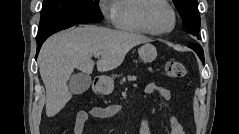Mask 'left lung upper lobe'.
<instances>
[{
	"label": "left lung upper lobe",
	"mask_w": 239,
	"mask_h": 134,
	"mask_svg": "<svg viewBox=\"0 0 239 134\" xmlns=\"http://www.w3.org/2000/svg\"><path fill=\"white\" fill-rule=\"evenodd\" d=\"M182 20L184 29L191 35L198 36L200 16L197 0H172ZM204 60V58H203Z\"/></svg>",
	"instance_id": "obj_1"
}]
</instances>
